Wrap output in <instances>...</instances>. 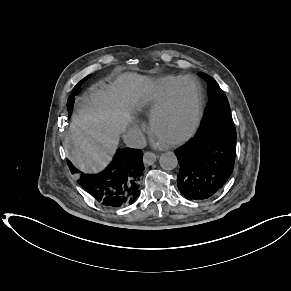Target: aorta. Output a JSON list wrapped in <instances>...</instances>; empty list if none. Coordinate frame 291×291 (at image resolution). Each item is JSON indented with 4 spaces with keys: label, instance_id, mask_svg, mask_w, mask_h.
Wrapping results in <instances>:
<instances>
[{
    "label": "aorta",
    "instance_id": "obj_1",
    "mask_svg": "<svg viewBox=\"0 0 291 291\" xmlns=\"http://www.w3.org/2000/svg\"><path fill=\"white\" fill-rule=\"evenodd\" d=\"M159 163L163 169L172 170L177 167L178 160L173 152H166L160 156Z\"/></svg>",
    "mask_w": 291,
    "mask_h": 291
}]
</instances>
